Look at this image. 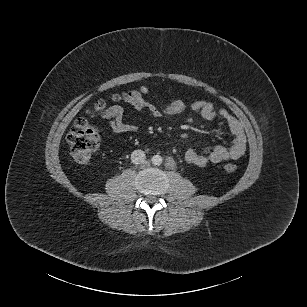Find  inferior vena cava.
Segmentation results:
<instances>
[{
  "label": "inferior vena cava",
  "instance_id": "1",
  "mask_svg": "<svg viewBox=\"0 0 307 307\" xmlns=\"http://www.w3.org/2000/svg\"><path fill=\"white\" fill-rule=\"evenodd\" d=\"M146 159L145 152L142 150H134L131 154V161L134 164H140Z\"/></svg>",
  "mask_w": 307,
  "mask_h": 307
}]
</instances>
